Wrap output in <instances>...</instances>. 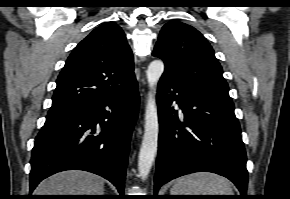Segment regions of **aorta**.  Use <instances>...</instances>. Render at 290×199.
I'll return each instance as SVG.
<instances>
[{
    "instance_id": "obj_1",
    "label": "aorta",
    "mask_w": 290,
    "mask_h": 199,
    "mask_svg": "<svg viewBox=\"0 0 290 199\" xmlns=\"http://www.w3.org/2000/svg\"><path fill=\"white\" fill-rule=\"evenodd\" d=\"M163 72L164 63L161 60L152 61L146 71L147 81L151 92L149 93L147 101L144 135L138 157L139 177L143 181L147 179L157 154L159 122L155 101V89Z\"/></svg>"
}]
</instances>
